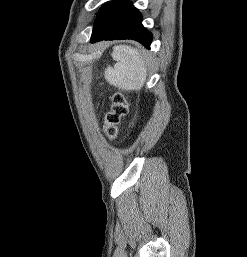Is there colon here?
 Returning a JSON list of instances; mask_svg holds the SVG:
<instances>
[{"label": "colon", "instance_id": "5ec220e1", "mask_svg": "<svg viewBox=\"0 0 247 257\" xmlns=\"http://www.w3.org/2000/svg\"><path fill=\"white\" fill-rule=\"evenodd\" d=\"M129 102L122 92H115L111 97V107L105 116L103 131L105 135L114 140L119 132L122 119L128 114Z\"/></svg>", "mask_w": 247, "mask_h": 257}]
</instances>
